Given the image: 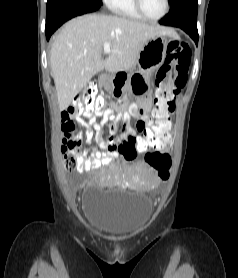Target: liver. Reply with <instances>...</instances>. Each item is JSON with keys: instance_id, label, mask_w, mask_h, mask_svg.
<instances>
[{"instance_id": "obj_1", "label": "liver", "mask_w": 238, "mask_h": 278, "mask_svg": "<svg viewBox=\"0 0 238 278\" xmlns=\"http://www.w3.org/2000/svg\"><path fill=\"white\" fill-rule=\"evenodd\" d=\"M156 35L176 37L173 30L159 25L111 15L88 14L67 22L54 37L50 57L60 111L98 72L131 69L148 40ZM106 42L111 49L103 59Z\"/></svg>"}]
</instances>
